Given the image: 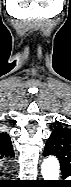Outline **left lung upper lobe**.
Listing matches in <instances>:
<instances>
[{
    "instance_id": "5c2ea615",
    "label": "left lung upper lobe",
    "mask_w": 71,
    "mask_h": 187,
    "mask_svg": "<svg viewBox=\"0 0 71 187\" xmlns=\"http://www.w3.org/2000/svg\"><path fill=\"white\" fill-rule=\"evenodd\" d=\"M58 158L61 171L71 175V129L57 125L47 140L44 156Z\"/></svg>"
}]
</instances>
